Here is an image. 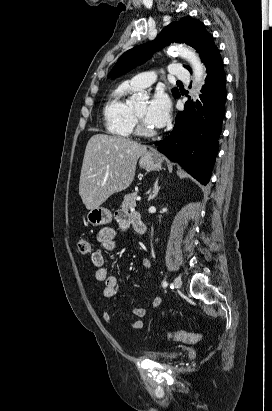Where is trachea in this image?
<instances>
[{"mask_svg": "<svg viewBox=\"0 0 272 411\" xmlns=\"http://www.w3.org/2000/svg\"><path fill=\"white\" fill-rule=\"evenodd\" d=\"M177 83H181V81H177Z\"/></svg>", "mask_w": 272, "mask_h": 411, "instance_id": "obj_1", "label": "trachea"}]
</instances>
